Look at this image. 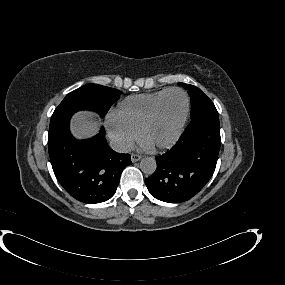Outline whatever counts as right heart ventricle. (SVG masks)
<instances>
[{"label": "right heart ventricle", "instance_id": "right-heart-ventricle-1", "mask_svg": "<svg viewBox=\"0 0 285 285\" xmlns=\"http://www.w3.org/2000/svg\"><path fill=\"white\" fill-rule=\"evenodd\" d=\"M166 90L132 95L125 98L118 104V109L115 112L116 119L132 132L138 134L141 125L150 114L154 104Z\"/></svg>", "mask_w": 285, "mask_h": 285}]
</instances>
